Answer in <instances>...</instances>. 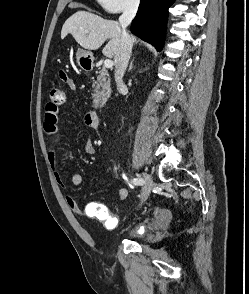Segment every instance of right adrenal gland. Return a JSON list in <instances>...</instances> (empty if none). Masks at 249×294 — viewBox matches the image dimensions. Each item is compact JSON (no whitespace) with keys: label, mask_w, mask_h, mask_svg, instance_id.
Returning <instances> with one entry per match:
<instances>
[{"label":"right adrenal gland","mask_w":249,"mask_h":294,"mask_svg":"<svg viewBox=\"0 0 249 294\" xmlns=\"http://www.w3.org/2000/svg\"><path fill=\"white\" fill-rule=\"evenodd\" d=\"M132 68H133V60H132L131 63H130L129 70H131Z\"/></svg>","instance_id":"right-adrenal-gland-1"}]
</instances>
